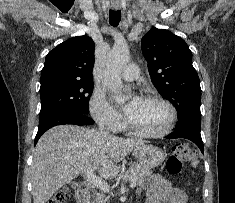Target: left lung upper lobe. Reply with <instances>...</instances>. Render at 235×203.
Instances as JSON below:
<instances>
[{
	"instance_id": "left-lung-upper-lobe-1",
	"label": "left lung upper lobe",
	"mask_w": 235,
	"mask_h": 203,
	"mask_svg": "<svg viewBox=\"0 0 235 203\" xmlns=\"http://www.w3.org/2000/svg\"><path fill=\"white\" fill-rule=\"evenodd\" d=\"M151 81L178 112V124L201 122V88L185 41L168 30L151 29L141 40Z\"/></svg>"
}]
</instances>
